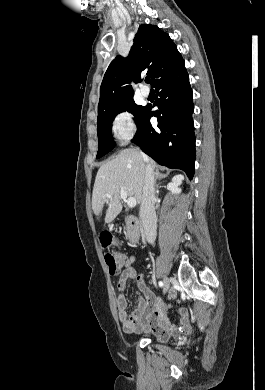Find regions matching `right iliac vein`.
Returning <instances> with one entry per match:
<instances>
[{
	"label": "right iliac vein",
	"mask_w": 265,
	"mask_h": 390,
	"mask_svg": "<svg viewBox=\"0 0 265 390\" xmlns=\"http://www.w3.org/2000/svg\"><path fill=\"white\" fill-rule=\"evenodd\" d=\"M163 285H164V292L166 293L170 288V280L169 278L165 277L163 279Z\"/></svg>",
	"instance_id": "1"
}]
</instances>
